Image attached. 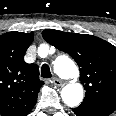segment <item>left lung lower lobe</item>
<instances>
[{"mask_svg":"<svg viewBox=\"0 0 116 116\" xmlns=\"http://www.w3.org/2000/svg\"><path fill=\"white\" fill-rule=\"evenodd\" d=\"M116 110V107L98 105V104H81L73 109L76 116H108Z\"/></svg>","mask_w":116,"mask_h":116,"instance_id":"obj_1","label":"left lung lower lobe"}]
</instances>
